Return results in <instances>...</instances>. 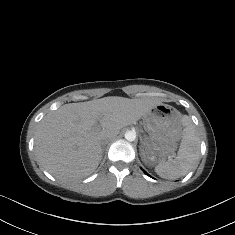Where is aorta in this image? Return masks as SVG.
<instances>
[{"label":"aorta","instance_id":"762f6f07","mask_svg":"<svg viewBox=\"0 0 235 235\" xmlns=\"http://www.w3.org/2000/svg\"><path fill=\"white\" fill-rule=\"evenodd\" d=\"M125 139L129 142H133L136 139V132L135 131H128L125 133Z\"/></svg>","mask_w":235,"mask_h":235}]
</instances>
